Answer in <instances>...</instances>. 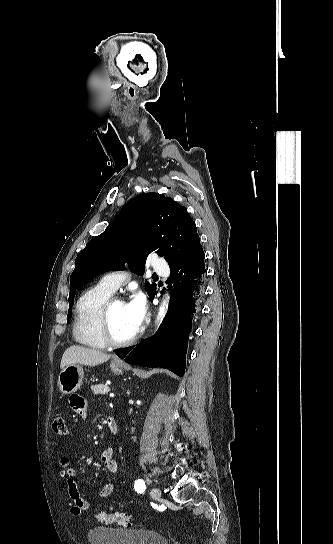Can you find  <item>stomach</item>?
I'll list each match as a JSON object with an SVG mask.
<instances>
[{"instance_id":"obj_1","label":"stomach","mask_w":333,"mask_h":544,"mask_svg":"<svg viewBox=\"0 0 333 544\" xmlns=\"http://www.w3.org/2000/svg\"><path fill=\"white\" fill-rule=\"evenodd\" d=\"M124 365L111 364V370L115 374H122ZM84 372L80 364H71L63 368L58 376L59 390L64 394H70L78 390L83 382Z\"/></svg>"}]
</instances>
